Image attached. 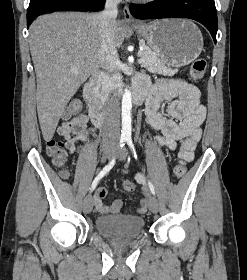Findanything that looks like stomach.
<instances>
[{
  "mask_svg": "<svg viewBox=\"0 0 247 280\" xmlns=\"http://www.w3.org/2000/svg\"><path fill=\"white\" fill-rule=\"evenodd\" d=\"M133 30L147 41L156 56L168 66H186L203 49L202 33L189 20L164 19L142 23Z\"/></svg>",
  "mask_w": 247,
  "mask_h": 280,
  "instance_id": "obj_1",
  "label": "stomach"
}]
</instances>
